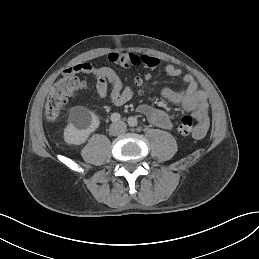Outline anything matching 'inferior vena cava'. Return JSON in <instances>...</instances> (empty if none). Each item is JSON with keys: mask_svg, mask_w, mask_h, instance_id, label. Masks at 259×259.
Wrapping results in <instances>:
<instances>
[{"mask_svg": "<svg viewBox=\"0 0 259 259\" xmlns=\"http://www.w3.org/2000/svg\"><path fill=\"white\" fill-rule=\"evenodd\" d=\"M126 130H127V125L122 121L113 123L110 126V133L112 135L124 134L126 132Z\"/></svg>", "mask_w": 259, "mask_h": 259, "instance_id": "obj_1", "label": "inferior vena cava"}]
</instances>
